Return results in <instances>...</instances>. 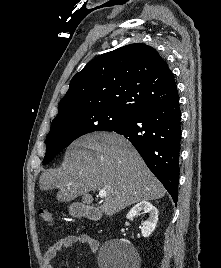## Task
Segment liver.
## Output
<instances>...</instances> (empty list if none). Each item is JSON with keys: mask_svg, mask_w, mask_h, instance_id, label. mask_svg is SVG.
Wrapping results in <instances>:
<instances>
[{"mask_svg": "<svg viewBox=\"0 0 221 268\" xmlns=\"http://www.w3.org/2000/svg\"><path fill=\"white\" fill-rule=\"evenodd\" d=\"M39 185L42 191L57 188L60 202L103 189L107 195L101 211L108 216L166 193L132 144L116 133L105 132L73 142L61 167L42 173Z\"/></svg>", "mask_w": 221, "mask_h": 268, "instance_id": "liver-1", "label": "liver"}]
</instances>
